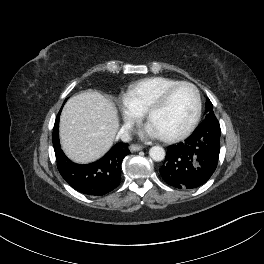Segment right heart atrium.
<instances>
[{
  "label": "right heart atrium",
  "mask_w": 264,
  "mask_h": 264,
  "mask_svg": "<svg viewBox=\"0 0 264 264\" xmlns=\"http://www.w3.org/2000/svg\"><path fill=\"white\" fill-rule=\"evenodd\" d=\"M122 107L124 120L127 124H132L141 118L142 112L127 104L125 100Z\"/></svg>",
  "instance_id": "right-heart-atrium-1"
}]
</instances>
